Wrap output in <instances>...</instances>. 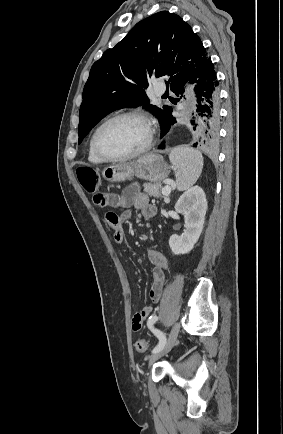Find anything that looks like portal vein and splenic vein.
<instances>
[{
  "label": "portal vein and splenic vein",
  "instance_id": "obj_1",
  "mask_svg": "<svg viewBox=\"0 0 283 434\" xmlns=\"http://www.w3.org/2000/svg\"><path fill=\"white\" fill-rule=\"evenodd\" d=\"M170 192H171V187L168 186V185L165 186V187L162 189V194L165 195V196L169 195Z\"/></svg>",
  "mask_w": 283,
  "mask_h": 434
}]
</instances>
